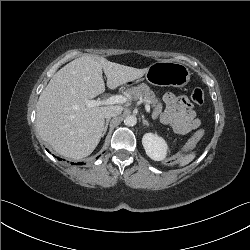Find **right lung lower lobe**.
Returning a JSON list of instances; mask_svg holds the SVG:
<instances>
[{
    "instance_id": "1",
    "label": "right lung lower lobe",
    "mask_w": 250,
    "mask_h": 250,
    "mask_svg": "<svg viewBox=\"0 0 250 250\" xmlns=\"http://www.w3.org/2000/svg\"><path fill=\"white\" fill-rule=\"evenodd\" d=\"M59 160H61L60 158H58ZM73 164V163H72ZM82 164V163H81ZM78 165H80V163H78Z\"/></svg>"
}]
</instances>
